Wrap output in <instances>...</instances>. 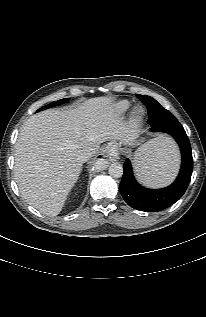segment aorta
<instances>
[{
  "label": "aorta",
  "instance_id": "obj_1",
  "mask_svg": "<svg viewBox=\"0 0 206 317\" xmlns=\"http://www.w3.org/2000/svg\"><path fill=\"white\" fill-rule=\"evenodd\" d=\"M108 172L110 176L120 178L123 175V167L120 163L115 162L109 166Z\"/></svg>",
  "mask_w": 206,
  "mask_h": 317
}]
</instances>
